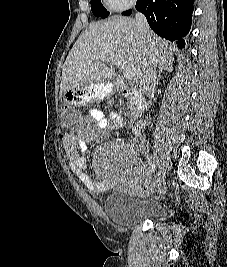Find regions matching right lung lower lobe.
Segmentation results:
<instances>
[{
	"label": "right lung lower lobe",
	"instance_id": "1",
	"mask_svg": "<svg viewBox=\"0 0 227 267\" xmlns=\"http://www.w3.org/2000/svg\"><path fill=\"white\" fill-rule=\"evenodd\" d=\"M136 9L143 13L151 29L159 36L185 47L182 37L191 27L193 0H137ZM131 10L122 15L129 16Z\"/></svg>",
	"mask_w": 227,
	"mask_h": 267
}]
</instances>
